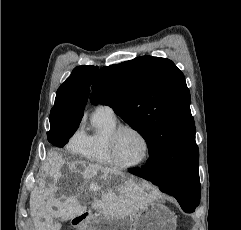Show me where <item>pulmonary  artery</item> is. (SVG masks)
<instances>
[{
	"label": "pulmonary artery",
	"mask_w": 241,
	"mask_h": 230,
	"mask_svg": "<svg viewBox=\"0 0 241 230\" xmlns=\"http://www.w3.org/2000/svg\"><path fill=\"white\" fill-rule=\"evenodd\" d=\"M96 110H101V111H108L113 113V110L109 107V106H105V105H99Z\"/></svg>",
	"instance_id": "e3ab8cb5"
}]
</instances>
